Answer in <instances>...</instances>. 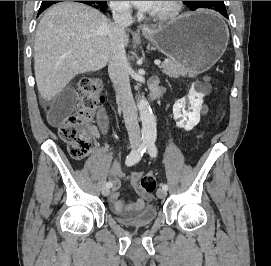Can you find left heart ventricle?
<instances>
[{
  "label": "left heart ventricle",
  "mask_w": 271,
  "mask_h": 266,
  "mask_svg": "<svg viewBox=\"0 0 271 266\" xmlns=\"http://www.w3.org/2000/svg\"><path fill=\"white\" fill-rule=\"evenodd\" d=\"M167 2L168 1H158L152 12L164 10L167 7Z\"/></svg>",
  "instance_id": "b2bd125f"
}]
</instances>
